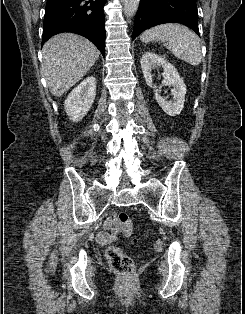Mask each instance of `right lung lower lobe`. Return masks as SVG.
Masks as SVG:
<instances>
[{
    "label": "right lung lower lobe",
    "instance_id": "obj_1",
    "mask_svg": "<svg viewBox=\"0 0 245 314\" xmlns=\"http://www.w3.org/2000/svg\"><path fill=\"white\" fill-rule=\"evenodd\" d=\"M107 0H48L45 8L42 45L53 35L73 32L93 42L105 54Z\"/></svg>",
    "mask_w": 245,
    "mask_h": 314
}]
</instances>
